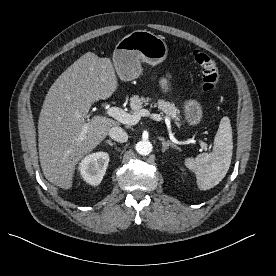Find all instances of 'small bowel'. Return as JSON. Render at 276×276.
I'll return each mask as SVG.
<instances>
[{
	"mask_svg": "<svg viewBox=\"0 0 276 276\" xmlns=\"http://www.w3.org/2000/svg\"><path fill=\"white\" fill-rule=\"evenodd\" d=\"M168 85H169V77H166V78L161 80V88L164 91L168 89Z\"/></svg>",
	"mask_w": 276,
	"mask_h": 276,
	"instance_id": "1",
	"label": "small bowel"
}]
</instances>
